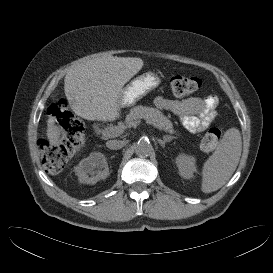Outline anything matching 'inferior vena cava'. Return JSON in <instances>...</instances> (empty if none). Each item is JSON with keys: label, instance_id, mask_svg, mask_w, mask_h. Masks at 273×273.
<instances>
[{"label": "inferior vena cava", "instance_id": "inferior-vena-cava-1", "mask_svg": "<svg viewBox=\"0 0 273 273\" xmlns=\"http://www.w3.org/2000/svg\"><path fill=\"white\" fill-rule=\"evenodd\" d=\"M125 145V142L122 140H110L106 142V146L109 149L117 150L121 149Z\"/></svg>", "mask_w": 273, "mask_h": 273}]
</instances>
